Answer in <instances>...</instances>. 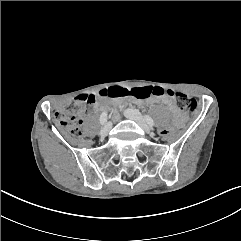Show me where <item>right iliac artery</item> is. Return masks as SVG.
<instances>
[{"instance_id": "obj_1", "label": "right iliac artery", "mask_w": 241, "mask_h": 241, "mask_svg": "<svg viewBox=\"0 0 241 241\" xmlns=\"http://www.w3.org/2000/svg\"><path fill=\"white\" fill-rule=\"evenodd\" d=\"M107 122V112H102L100 115V123L103 125Z\"/></svg>"}]
</instances>
